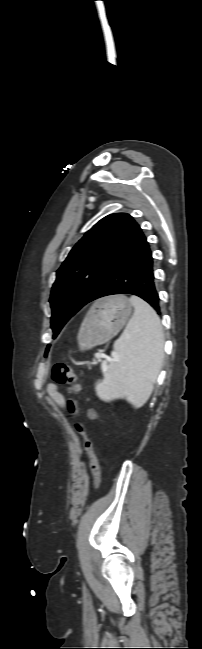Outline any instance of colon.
I'll list each match as a JSON object with an SVG mask.
<instances>
[{"instance_id":"1","label":"colon","mask_w":202,"mask_h":649,"mask_svg":"<svg viewBox=\"0 0 202 649\" xmlns=\"http://www.w3.org/2000/svg\"><path fill=\"white\" fill-rule=\"evenodd\" d=\"M52 380L60 385H66L69 394L76 396L80 391V385L77 383L76 375L72 367L66 363H58L53 367ZM68 411L73 416H78L80 404L76 397L68 400ZM77 432L83 436L85 449L90 459L91 471L93 474V487L97 488L100 477V464L94 450L93 441L88 435L87 424L78 420L75 424Z\"/></svg>"}]
</instances>
